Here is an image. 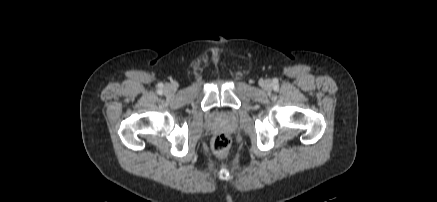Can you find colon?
Wrapping results in <instances>:
<instances>
[{
	"instance_id": "1",
	"label": "colon",
	"mask_w": 437,
	"mask_h": 202,
	"mask_svg": "<svg viewBox=\"0 0 437 202\" xmlns=\"http://www.w3.org/2000/svg\"><path fill=\"white\" fill-rule=\"evenodd\" d=\"M231 141L224 133H217L212 141V149L216 156L226 158L230 152Z\"/></svg>"
}]
</instances>
